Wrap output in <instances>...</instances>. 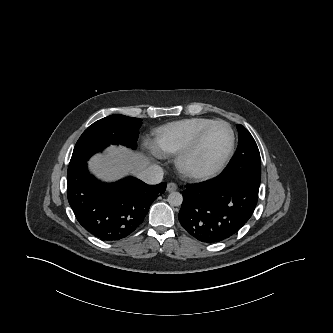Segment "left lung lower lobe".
<instances>
[{
  "mask_svg": "<svg viewBox=\"0 0 333 333\" xmlns=\"http://www.w3.org/2000/svg\"><path fill=\"white\" fill-rule=\"evenodd\" d=\"M186 188L179 221L190 235L205 243L236 234L252 216L259 192V187L234 176H220Z\"/></svg>",
  "mask_w": 333,
  "mask_h": 333,
  "instance_id": "left-lung-lower-lobe-1",
  "label": "left lung lower lobe"
}]
</instances>
